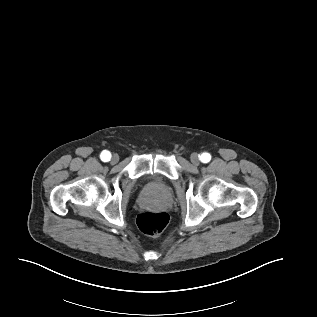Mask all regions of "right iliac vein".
<instances>
[{"instance_id": "right-iliac-vein-1", "label": "right iliac vein", "mask_w": 317, "mask_h": 317, "mask_svg": "<svg viewBox=\"0 0 317 317\" xmlns=\"http://www.w3.org/2000/svg\"><path fill=\"white\" fill-rule=\"evenodd\" d=\"M119 161V156L118 155H113L111 158V163L116 164Z\"/></svg>"}]
</instances>
